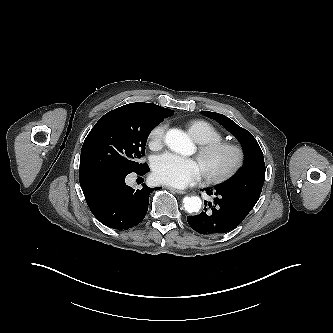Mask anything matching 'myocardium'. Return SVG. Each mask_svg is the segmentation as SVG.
Returning a JSON list of instances; mask_svg holds the SVG:
<instances>
[{
    "label": "myocardium",
    "mask_w": 333,
    "mask_h": 333,
    "mask_svg": "<svg viewBox=\"0 0 333 333\" xmlns=\"http://www.w3.org/2000/svg\"><path fill=\"white\" fill-rule=\"evenodd\" d=\"M220 152H230L232 161L226 169L213 173L207 170L202 171L209 183L220 184L234 177L243 167L246 153L242 145L231 141H218L200 145L197 153L199 162H206L212 156Z\"/></svg>",
    "instance_id": "1"
}]
</instances>
